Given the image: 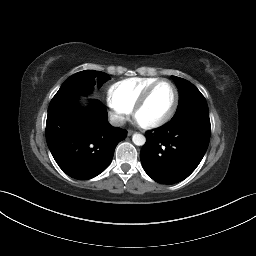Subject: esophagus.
<instances>
[{"instance_id": "1", "label": "esophagus", "mask_w": 256, "mask_h": 256, "mask_svg": "<svg viewBox=\"0 0 256 256\" xmlns=\"http://www.w3.org/2000/svg\"><path fill=\"white\" fill-rule=\"evenodd\" d=\"M128 136H131L133 133H134V131L133 130H128Z\"/></svg>"}]
</instances>
